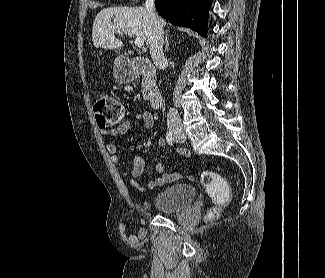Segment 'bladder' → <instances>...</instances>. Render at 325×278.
Wrapping results in <instances>:
<instances>
[{
    "mask_svg": "<svg viewBox=\"0 0 325 278\" xmlns=\"http://www.w3.org/2000/svg\"><path fill=\"white\" fill-rule=\"evenodd\" d=\"M195 196V189L190 184H173L156 194L152 206L162 214H172L189 207Z\"/></svg>",
    "mask_w": 325,
    "mask_h": 278,
    "instance_id": "bladder-1",
    "label": "bladder"
}]
</instances>
